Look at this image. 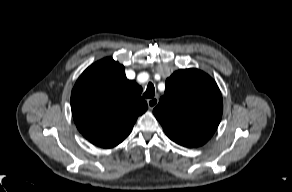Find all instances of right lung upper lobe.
I'll return each instance as SVG.
<instances>
[{
  "mask_svg": "<svg viewBox=\"0 0 292 192\" xmlns=\"http://www.w3.org/2000/svg\"><path fill=\"white\" fill-rule=\"evenodd\" d=\"M141 92L135 81L126 78L124 66L111 57L92 64L81 74L71 94L78 130L96 146H117L147 110Z\"/></svg>",
  "mask_w": 292,
  "mask_h": 192,
  "instance_id": "cb5924a9",
  "label": "right lung upper lobe"
}]
</instances>
